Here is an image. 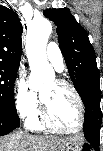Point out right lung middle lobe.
<instances>
[{
  "label": "right lung middle lobe",
  "mask_w": 103,
  "mask_h": 151,
  "mask_svg": "<svg viewBox=\"0 0 103 151\" xmlns=\"http://www.w3.org/2000/svg\"><path fill=\"white\" fill-rule=\"evenodd\" d=\"M18 65L0 64V112L19 119L14 101Z\"/></svg>",
  "instance_id": "1"
}]
</instances>
